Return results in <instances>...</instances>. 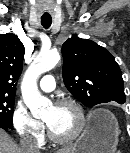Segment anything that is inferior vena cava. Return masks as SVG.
Segmentation results:
<instances>
[{
  "label": "inferior vena cava",
  "mask_w": 130,
  "mask_h": 153,
  "mask_svg": "<svg viewBox=\"0 0 130 153\" xmlns=\"http://www.w3.org/2000/svg\"><path fill=\"white\" fill-rule=\"evenodd\" d=\"M22 153H39V147L32 137H24L21 141Z\"/></svg>",
  "instance_id": "602c4592"
}]
</instances>
